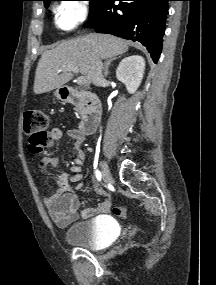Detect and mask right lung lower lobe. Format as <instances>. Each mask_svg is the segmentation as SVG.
I'll list each match as a JSON object with an SVG mask.
<instances>
[{
  "mask_svg": "<svg viewBox=\"0 0 216 285\" xmlns=\"http://www.w3.org/2000/svg\"><path fill=\"white\" fill-rule=\"evenodd\" d=\"M100 0L84 27L142 43L157 63L163 42L168 1ZM124 1V2H123Z\"/></svg>",
  "mask_w": 216,
  "mask_h": 285,
  "instance_id": "right-lung-lower-lobe-1",
  "label": "right lung lower lobe"
}]
</instances>
